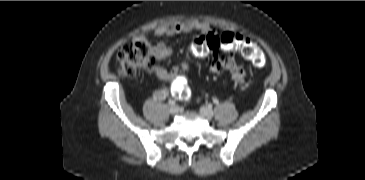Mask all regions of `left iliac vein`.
Masks as SVG:
<instances>
[{
  "instance_id": "left-iliac-vein-1",
  "label": "left iliac vein",
  "mask_w": 365,
  "mask_h": 180,
  "mask_svg": "<svg viewBox=\"0 0 365 180\" xmlns=\"http://www.w3.org/2000/svg\"><path fill=\"white\" fill-rule=\"evenodd\" d=\"M200 113L208 120L212 119L214 116V112L210 106H202L200 108Z\"/></svg>"
}]
</instances>
